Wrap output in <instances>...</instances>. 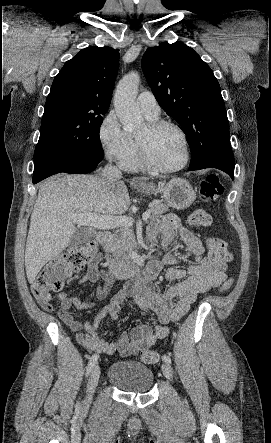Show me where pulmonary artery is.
<instances>
[{
	"label": "pulmonary artery",
	"instance_id": "obj_1",
	"mask_svg": "<svg viewBox=\"0 0 271 443\" xmlns=\"http://www.w3.org/2000/svg\"><path fill=\"white\" fill-rule=\"evenodd\" d=\"M137 104L147 118L157 117L160 113V106L150 91L141 92L137 97Z\"/></svg>",
	"mask_w": 271,
	"mask_h": 443
}]
</instances>
